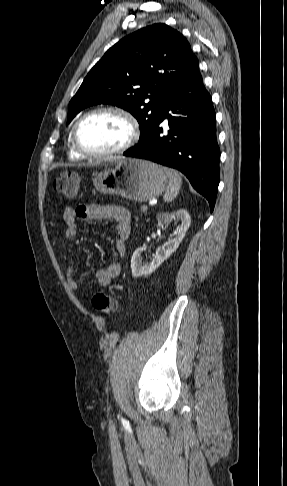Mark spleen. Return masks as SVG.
Listing matches in <instances>:
<instances>
[{
  "instance_id": "1",
  "label": "spleen",
  "mask_w": 287,
  "mask_h": 486,
  "mask_svg": "<svg viewBox=\"0 0 287 486\" xmlns=\"http://www.w3.org/2000/svg\"><path fill=\"white\" fill-rule=\"evenodd\" d=\"M164 171L167 177L169 178V183L168 186L166 187L163 199L166 202H171L177 197L180 191L182 185V178L180 174L173 169L164 168Z\"/></svg>"
}]
</instances>
